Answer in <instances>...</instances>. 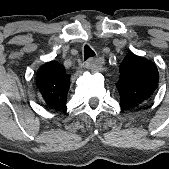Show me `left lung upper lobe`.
I'll return each mask as SVG.
<instances>
[{"label":"left lung upper lobe","mask_w":169,"mask_h":169,"mask_svg":"<svg viewBox=\"0 0 169 169\" xmlns=\"http://www.w3.org/2000/svg\"><path fill=\"white\" fill-rule=\"evenodd\" d=\"M120 79L116 84L121 102L132 107L149 97L156 89L157 68L139 57L128 55L120 67Z\"/></svg>","instance_id":"obj_1"}]
</instances>
